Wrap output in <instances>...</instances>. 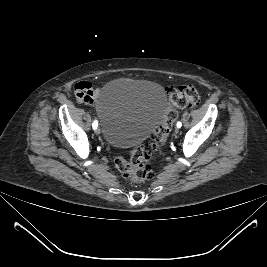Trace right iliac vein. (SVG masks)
Returning <instances> with one entry per match:
<instances>
[{"instance_id": "63e3f726", "label": "right iliac vein", "mask_w": 267, "mask_h": 267, "mask_svg": "<svg viewBox=\"0 0 267 267\" xmlns=\"http://www.w3.org/2000/svg\"><path fill=\"white\" fill-rule=\"evenodd\" d=\"M95 133H96V135H100V133H101L100 128H96V129H95Z\"/></svg>"}]
</instances>
